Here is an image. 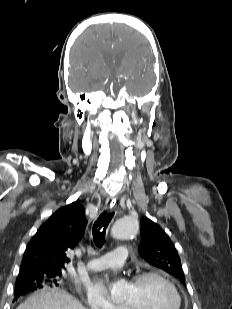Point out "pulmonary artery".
<instances>
[{
	"instance_id": "1",
	"label": "pulmonary artery",
	"mask_w": 232,
	"mask_h": 309,
	"mask_svg": "<svg viewBox=\"0 0 232 309\" xmlns=\"http://www.w3.org/2000/svg\"><path fill=\"white\" fill-rule=\"evenodd\" d=\"M127 257L128 250L125 247H118L111 253L88 260L86 266L91 271H102L122 265Z\"/></svg>"
}]
</instances>
